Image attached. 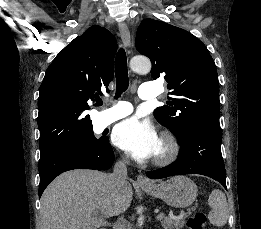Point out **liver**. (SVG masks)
I'll return each instance as SVG.
<instances>
[{
    "label": "liver",
    "mask_w": 261,
    "mask_h": 229,
    "mask_svg": "<svg viewBox=\"0 0 261 229\" xmlns=\"http://www.w3.org/2000/svg\"><path fill=\"white\" fill-rule=\"evenodd\" d=\"M130 183L114 195L108 175L75 169L59 175L41 199V229H97L108 217L125 213L132 201Z\"/></svg>",
    "instance_id": "liver-1"
}]
</instances>
